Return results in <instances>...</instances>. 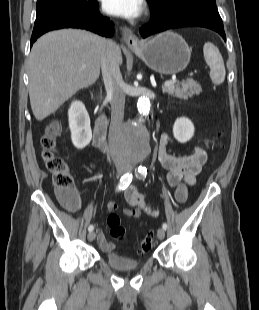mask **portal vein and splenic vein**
<instances>
[{
    "instance_id": "obj_1",
    "label": "portal vein and splenic vein",
    "mask_w": 259,
    "mask_h": 310,
    "mask_svg": "<svg viewBox=\"0 0 259 310\" xmlns=\"http://www.w3.org/2000/svg\"><path fill=\"white\" fill-rule=\"evenodd\" d=\"M177 82L176 79H172V80H168L166 82H164V86H172Z\"/></svg>"
}]
</instances>
